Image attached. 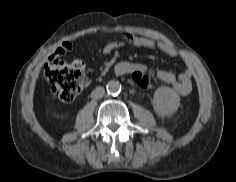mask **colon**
Masks as SVG:
<instances>
[{"instance_id": "obj_1", "label": "colon", "mask_w": 236, "mask_h": 182, "mask_svg": "<svg viewBox=\"0 0 236 182\" xmlns=\"http://www.w3.org/2000/svg\"><path fill=\"white\" fill-rule=\"evenodd\" d=\"M44 75L50 84L52 94L63 102L73 101L87 84V75L81 61L66 63L57 56L48 58ZM133 83L140 89L152 86L150 77L143 71L134 70L131 74Z\"/></svg>"}]
</instances>
